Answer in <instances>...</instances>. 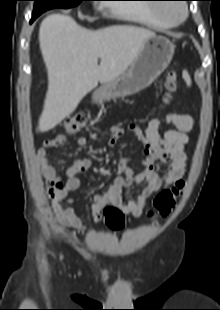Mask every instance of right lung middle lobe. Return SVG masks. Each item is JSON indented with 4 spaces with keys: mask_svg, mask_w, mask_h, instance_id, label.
I'll return each instance as SVG.
<instances>
[{
    "mask_svg": "<svg viewBox=\"0 0 220 310\" xmlns=\"http://www.w3.org/2000/svg\"><path fill=\"white\" fill-rule=\"evenodd\" d=\"M33 15L39 16L43 12L53 8H71L86 0H34Z\"/></svg>",
    "mask_w": 220,
    "mask_h": 310,
    "instance_id": "dd1d6c3e",
    "label": "right lung middle lobe"
}]
</instances>
